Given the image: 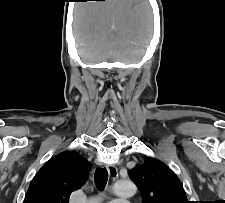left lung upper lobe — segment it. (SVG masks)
<instances>
[{
    "instance_id": "obj_1",
    "label": "left lung upper lobe",
    "mask_w": 225,
    "mask_h": 203,
    "mask_svg": "<svg viewBox=\"0 0 225 203\" xmlns=\"http://www.w3.org/2000/svg\"><path fill=\"white\" fill-rule=\"evenodd\" d=\"M130 178L140 189L145 203H190L175 173L154 158H147L143 165H136Z\"/></svg>"
}]
</instances>
